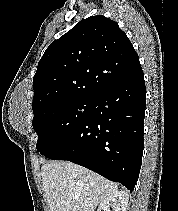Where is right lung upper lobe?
Wrapping results in <instances>:
<instances>
[{
  "mask_svg": "<svg viewBox=\"0 0 178 211\" xmlns=\"http://www.w3.org/2000/svg\"><path fill=\"white\" fill-rule=\"evenodd\" d=\"M141 69L118 24L102 15L76 24L44 52L33 78V113L63 100L95 99Z\"/></svg>",
  "mask_w": 178,
  "mask_h": 211,
  "instance_id": "right-lung-upper-lobe-1",
  "label": "right lung upper lobe"
}]
</instances>
